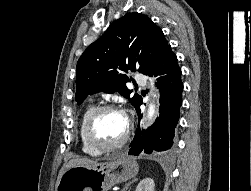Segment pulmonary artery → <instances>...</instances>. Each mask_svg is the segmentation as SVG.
<instances>
[{"instance_id": "1", "label": "pulmonary artery", "mask_w": 251, "mask_h": 191, "mask_svg": "<svg viewBox=\"0 0 251 191\" xmlns=\"http://www.w3.org/2000/svg\"><path fill=\"white\" fill-rule=\"evenodd\" d=\"M134 82H138V86H146L145 73H134ZM89 101H93V99L90 97Z\"/></svg>"}]
</instances>
